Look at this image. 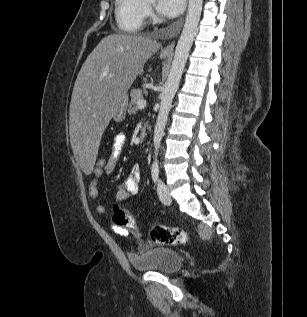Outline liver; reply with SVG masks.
I'll list each match as a JSON object with an SVG mask.
<instances>
[{
	"instance_id": "liver-1",
	"label": "liver",
	"mask_w": 307,
	"mask_h": 317,
	"mask_svg": "<svg viewBox=\"0 0 307 317\" xmlns=\"http://www.w3.org/2000/svg\"><path fill=\"white\" fill-rule=\"evenodd\" d=\"M160 46L143 35L111 34L100 41L82 65L71 97L69 131L83 175H92L103 132Z\"/></svg>"
}]
</instances>
